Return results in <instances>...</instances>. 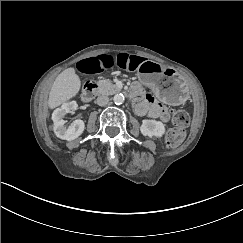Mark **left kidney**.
Wrapping results in <instances>:
<instances>
[{
  "mask_svg": "<svg viewBox=\"0 0 243 243\" xmlns=\"http://www.w3.org/2000/svg\"><path fill=\"white\" fill-rule=\"evenodd\" d=\"M140 131L144 136L162 137L165 133V126L162 122L156 120H143Z\"/></svg>",
  "mask_w": 243,
  "mask_h": 243,
  "instance_id": "obj_1",
  "label": "left kidney"
}]
</instances>
